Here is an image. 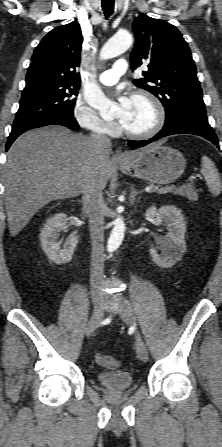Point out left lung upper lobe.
Returning a JSON list of instances; mask_svg holds the SVG:
<instances>
[{
	"instance_id": "1",
	"label": "left lung upper lobe",
	"mask_w": 222,
	"mask_h": 447,
	"mask_svg": "<svg viewBox=\"0 0 222 447\" xmlns=\"http://www.w3.org/2000/svg\"><path fill=\"white\" fill-rule=\"evenodd\" d=\"M136 37L130 59L136 69L148 63L144 78L134 84L160 99L166 121L177 114H188L207 121L200 82L190 49L172 24L140 14L135 18Z\"/></svg>"
}]
</instances>
